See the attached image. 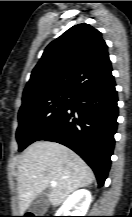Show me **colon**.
<instances>
[{"mask_svg": "<svg viewBox=\"0 0 132 217\" xmlns=\"http://www.w3.org/2000/svg\"><path fill=\"white\" fill-rule=\"evenodd\" d=\"M25 217H34V216H25Z\"/></svg>", "mask_w": 132, "mask_h": 217, "instance_id": "1", "label": "colon"}]
</instances>
